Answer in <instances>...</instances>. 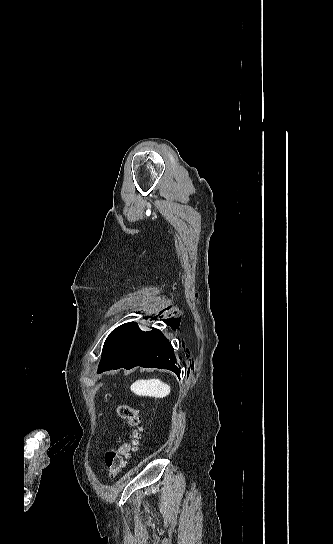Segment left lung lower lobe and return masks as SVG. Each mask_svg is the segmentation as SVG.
I'll return each instance as SVG.
<instances>
[{"instance_id":"0a47b994","label":"left lung lower lobe","mask_w":333,"mask_h":544,"mask_svg":"<svg viewBox=\"0 0 333 544\" xmlns=\"http://www.w3.org/2000/svg\"><path fill=\"white\" fill-rule=\"evenodd\" d=\"M175 329L174 322L168 323ZM171 343L160 330L141 332L133 345L122 349L107 348V354L99 364L98 373L111 369H131L135 366L168 369L180 375Z\"/></svg>"}]
</instances>
